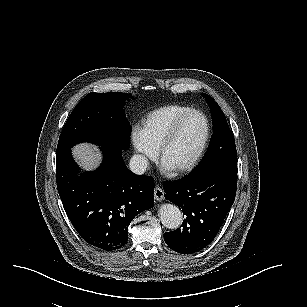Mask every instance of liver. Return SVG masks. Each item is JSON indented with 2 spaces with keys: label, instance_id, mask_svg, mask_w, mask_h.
Listing matches in <instances>:
<instances>
[{
  "label": "liver",
  "instance_id": "6515ba94",
  "mask_svg": "<svg viewBox=\"0 0 307 307\" xmlns=\"http://www.w3.org/2000/svg\"><path fill=\"white\" fill-rule=\"evenodd\" d=\"M70 154L76 163L73 174L80 180L85 179L89 173L98 170L105 159L101 146L88 141L72 145Z\"/></svg>",
  "mask_w": 307,
  "mask_h": 307
}]
</instances>
